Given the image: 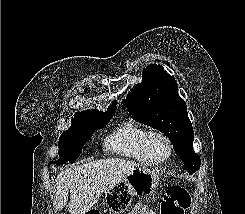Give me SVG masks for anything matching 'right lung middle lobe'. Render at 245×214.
<instances>
[{"mask_svg":"<svg viewBox=\"0 0 245 214\" xmlns=\"http://www.w3.org/2000/svg\"><path fill=\"white\" fill-rule=\"evenodd\" d=\"M113 114H91L74 117L70 129L62 133L59 138L58 153L60 159L51 161L48 165L73 163L80 156L83 146L90 140L94 131L103 128Z\"/></svg>","mask_w":245,"mask_h":214,"instance_id":"1","label":"right lung middle lobe"}]
</instances>
